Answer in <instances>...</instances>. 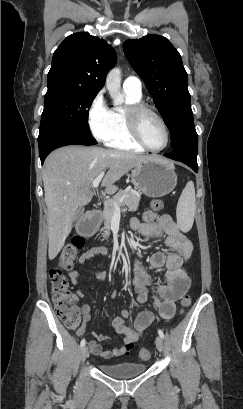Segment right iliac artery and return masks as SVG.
I'll use <instances>...</instances> for the list:
<instances>
[{"instance_id":"82829eb1","label":"right iliac artery","mask_w":243,"mask_h":409,"mask_svg":"<svg viewBox=\"0 0 243 409\" xmlns=\"http://www.w3.org/2000/svg\"><path fill=\"white\" fill-rule=\"evenodd\" d=\"M85 346V339H82L81 343H80V347L83 348Z\"/></svg>"}]
</instances>
